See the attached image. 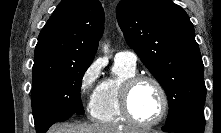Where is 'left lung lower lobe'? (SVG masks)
I'll return each instance as SVG.
<instances>
[{
  "label": "left lung lower lobe",
  "mask_w": 221,
  "mask_h": 133,
  "mask_svg": "<svg viewBox=\"0 0 221 133\" xmlns=\"http://www.w3.org/2000/svg\"><path fill=\"white\" fill-rule=\"evenodd\" d=\"M204 105L189 108L162 128L164 132L204 133Z\"/></svg>",
  "instance_id": "obj_1"
}]
</instances>
